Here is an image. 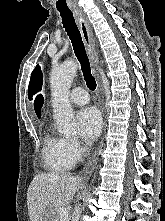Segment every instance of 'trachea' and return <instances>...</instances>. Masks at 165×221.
Masks as SVG:
<instances>
[{
  "mask_svg": "<svg viewBox=\"0 0 165 221\" xmlns=\"http://www.w3.org/2000/svg\"><path fill=\"white\" fill-rule=\"evenodd\" d=\"M59 12L62 18L63 27L65 28V31L71 40L74 53L80 62L86 85L90 90L94 91L96 89V81L91 74L89 59L85 51L80 31L78 30V27L75 23L73 13L70 10H59Z\"/></svg>",
  "mask_w": 165,
  "mask_h": 221,
  "instance_id": "trachea-1",
  "label": "trachea"
}]
</instances>
